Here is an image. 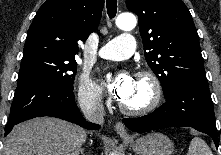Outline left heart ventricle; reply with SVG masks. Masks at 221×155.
Listing matches in <instances>:
<instances>
[{
  "label": "left heart ventricle",
  "instance_id": "obj_1",
  "mask_svg": "<svg viewBox=\"0 0 221 155\" xmlns=\"http://www.w3.org/2000/svg\"><path fill=\"white\" fill-rule=\"evenodd\" d=\"M151 98V86L148 81L135 78L129 94L122 100L125 105L138 108L145 105Z\"/></svg>",
  "mask_w": 221,
  "mask_h": 155
}]
</instances>
